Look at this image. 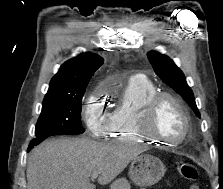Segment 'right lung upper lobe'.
<instances>
[{"mask_svg":"<svg viewBox=\"0 0 223 189\" xmlns=\"http://www.w3.org/2000/svg\"><path fill=\"white\" fill-rule=\"evenodd\" d=\"M102 64L103 59L91 53L80 54L68 60L52 78L47 94H72L85 89Z\"/></svg>","mask_w":223,"mask_h":189,"instance_id":"1","label":"right lung upper lobe"}]
</instances>
